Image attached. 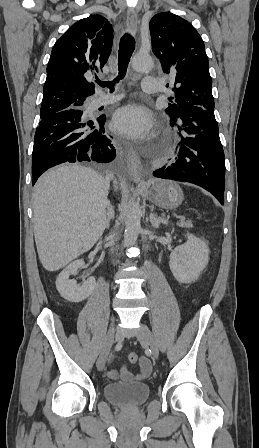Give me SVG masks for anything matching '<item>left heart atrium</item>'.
Returning a JSON list of instances; mask_svg holds the SVG:
<instances>
[{
    "instance_id": "1",
    "label": "left heart atrium",
    "mask_w": 259,
    "mask_h": 448,
    "mask_svg": "<svg viewBox=\"0 0 259 448\" xmlns=\"http://www.w3.org/2000/svg\"><path fill=\"white\" fill-rule=\"evenodd\" d=\"M114 130L134 139L147 137L153 127L151 112L141 104L133 103L120 108L114 115Z\"/></svg>"
}]
</instances>
